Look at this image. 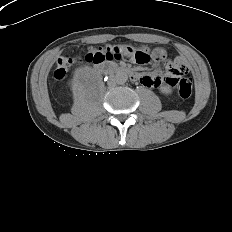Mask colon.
<instances>
[{"label": "colon", "instance_id": "5ec220e1", "mask_svg": "<svg viewBox=\"0 0 232 232\" xmlns=\"http://www.w3.org/2000/svg\"><path fill=\"white\" fill-rule=\"evenodd\" d=\"M153 57L157 60H162L164 58V52L158 49L153 53ZM120 59L143 65L150 61V55L145 50H135L132 47L112 46L89 51L79 61L96 64ZM71 64L72 60L70 58H59L53 72V77L57 80L63 79ZM168 71L169 77L166 79L167 83L177 89L181 98H189L192 93V85L190 80L186 77V70L176 68L174 65L170 64Z\"/></svg>", "mask_w": 232, "mask_h": 232}]
</instances>
